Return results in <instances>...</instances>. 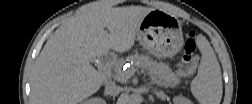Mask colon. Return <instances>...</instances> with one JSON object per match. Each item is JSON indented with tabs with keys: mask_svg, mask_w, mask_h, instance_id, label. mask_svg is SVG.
Returning <instances> with one entry per match:
<instances>
[{
	"mask_svg": "<svg viewBox=\"0 0 252 104\" xmlns=\"http://www.w3.org/2000/svg\"><path fill=\"white\" fill-rule=\"evenodd\" d=\"M197 46H196V34L194 31H188L186 34V40L183 47V55L182 60L183 63L187 66H191L194 64L196 57Z\"/></svg>",
	"mask_w": 252,
	"mask_h": 104,
	"instance_id": "colon-1",
	"label": "colon"
}]
</instances>
